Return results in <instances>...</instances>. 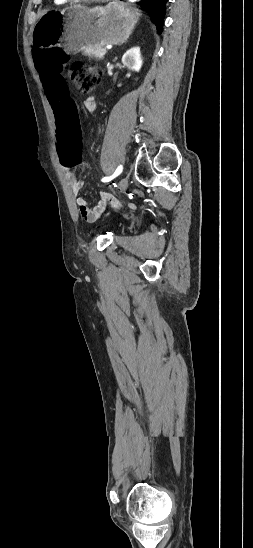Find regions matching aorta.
I'll use <instances>...</instances> for the list:
<instances>
[{
  "label": "aorta",
  "mask_w": 253,
  "mask_h": 548,
  "mask_svg": "<svg viewBox=\"0 0 253 548\" xmlns=\"http://www.w3.org/2000/svg\"><path fill=\"white\" fill-rule=\"evenodd\" d=\"M130 3H136V2H139L140 0H128Z\"/></svg>",
  "instance_id": "aorta-1"
}]
</instances>
